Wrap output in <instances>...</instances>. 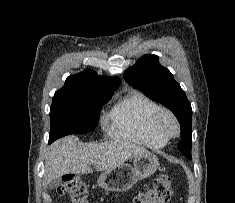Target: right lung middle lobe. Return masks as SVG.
Segmentation results:
<instances>
[{
	"label": "right lung middle lobe",
	"instance_id": "1",
	"mask_svg": "<svg viewBox=\"0 0 235 203\" xmlns=\"http://www.w3.org/2000/svg\"><path fill=\"white\" fill-rule=\"evenodd\" d=\"M112 93L84 90H59L55 92L50 108L49 143L74 133L93 131L99 120L102 106Z\"/></svg>",
	"mask_w": 235,
	"mask_h": 203
}]
</instances>
